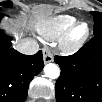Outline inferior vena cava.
I'll list each match as a JSON object with an SVG mask.
<instances>
[{
	"mask_svg": "<svg viewBox=\"0 0 102 102\" xmlns=\"http://www.w3.org/2000/svg\"><path fill=\"white\" fill-rule=\"evenodd\" d=\"M15 49L25 55L36 54L39 50V45L35 39L26 38L16 45Z\"/></svg>",
	"mask_w": 102,
	"mask_h": 102,
	"instance_id": "obj_1",
	"label": "inferior vena cava"
}]
</instances>
